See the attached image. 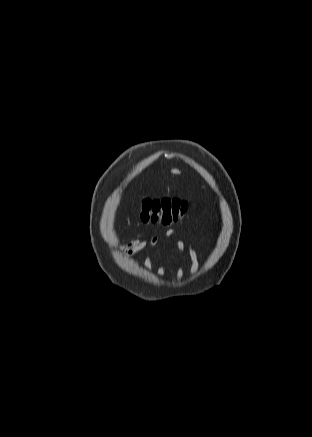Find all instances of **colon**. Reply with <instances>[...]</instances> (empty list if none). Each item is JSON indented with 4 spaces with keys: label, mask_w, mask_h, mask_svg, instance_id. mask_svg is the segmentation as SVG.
Wrapping results in <instances>:
<instances>
[{
    "label": "colon",
    "mask_w": 312,
    "mask_h": 437,
    "mask_svg": "<svg viewBox=\"0 0 312 437\" xmlns=\"http://www.w3.org/2000/svg\"><path fill=\"white\" fill-rule=\"evenodd\" d=\"M192 208L187 201L174 198L145 199L140 218L145 223L171 224L182 220Z\"/></svg>",
    "instance_id": "1"
}]
</instances>
